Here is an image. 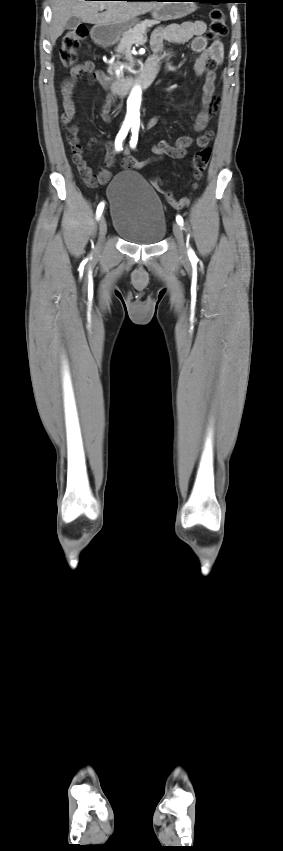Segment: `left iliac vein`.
<instances>
[{"label":"left iliac vein","mask_w":283,"mask_h":851,"mask_svg":"<svg viewBox=\"0 0 283 851\" xmlns=\"http://www.w3.org/2000/svg\"><path fill=\"white\" fill-rule=\"evenodd\" d=\"M173 233H174V236H175V238H176V240H177V243H178V246H179L180 253H181L182 255H185V253H186V249H185V243H184L183 232H182V228H181V226H180L178 223H174V224H173Z\"/></svg>","instance_id":"left-iliac-vein-1"}]
</instances>
